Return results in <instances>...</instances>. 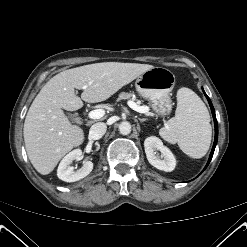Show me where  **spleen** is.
I'll use <instances>...</instances> for the list:
<instances>
[{"label":"spleen","instance_id":"3e777b00","mask_svg":"<svg viewBox=\"0 0 247 247\" xmlns=\"http://www.w3.org/2000/svg\"><path fill=\"white\" fill-rule=\"evenodd\" d=\"M161 137L169 143H177L192 158H202L209 150L212 136L210 115L200 97L191 89L177 91L175 117L160 129Z\"/></svg>","mask_w":247,"mask_h":247}]
</instances>
